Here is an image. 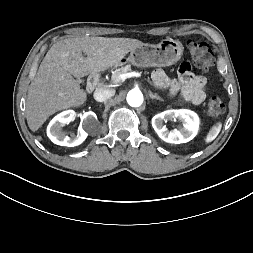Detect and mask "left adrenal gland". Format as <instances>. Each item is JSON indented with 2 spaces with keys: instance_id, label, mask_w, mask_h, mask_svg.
<instances>
[{
  "instance_id": "1",
  "label": "left adrenal gland",
  "mask_w": 253,
  "mask_h": 253,
  "mask_svg": "<svg viewBox=\"0 0 253 253\" xmlns=\"http://www.w3.org/2000/svg\"><path fill=\"white\" fill-rule=\"evenodd\" d=\"M148 93H149L150 99H156V100H159V101H164L157 94H153L151 91H149Z\"/></svg>"
}]
</instances>
